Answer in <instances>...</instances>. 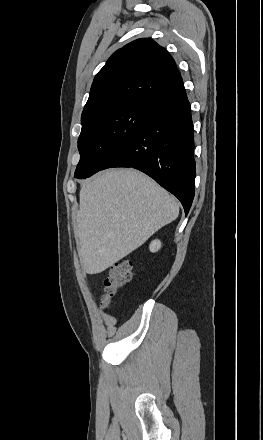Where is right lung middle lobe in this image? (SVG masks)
<instances>
[{"label": "right lung middle lobe", "mask_w": 263, "mask_h": 440, "mask_svg": "<svg viewBox=\"0 0 263 440\" xmlns=\"http://www.w3.org/2000/svg\"><path fill=\"white\" fill-rule=\"evenodd\" d=\"M151 109L152 104L128 103L82 121L80 161L74 177L82 179L102 170L111 155L137 132Z\"/></svg>", "instance_id": "dd1d6c3e"}]
</instances>
